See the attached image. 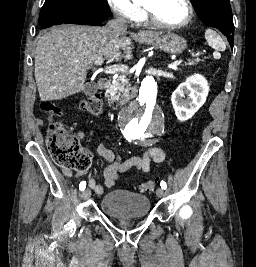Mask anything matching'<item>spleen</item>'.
Returning <instances> with one entry per match:
<instances>
[{
  "mask_svg": "<svg viewBox=\"0 0 256 267\" xmlns=\"http://www.w3.org/2000/svg\"><path fill=\"white\" fill-rule=\"evenodd\" d=\"M205 40L208 42L210 48H214L216 52H214L215 58H219L220 54L219 52H224L226 50L225 42H223L221 36L217 34V32H214V30H206L205 32Z\"/></svg>",
  "mask_w": 256,
  "mask_h": 267,
  "instance_id": "obj_1",
  "label": "spleen"
}]
</instances>
